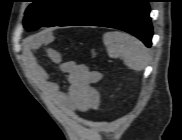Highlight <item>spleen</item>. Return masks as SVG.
<instances>
[{"label":"spleen","instance_id":"1","mask_svg":"<svg viewBox=\"0 0 182 140\" xmlns=\"http://www.w3.org/2000/svg\"><path fill=\"white\" fill-rule=\"evenodd\" d=\"M103 42L110 57H122L124 64L132 70L142 71L150 61L145 45L127 33L119 31L105 33Z\"/></svg>","mask_w":182,"mask_h":140}]
</instances>
